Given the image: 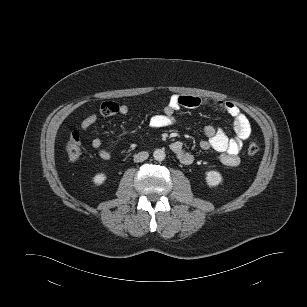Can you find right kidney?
<instances>
[{
    "mask_svg": "<svg viewBox=\"0 0 307 307\" xmlns=\"http://www.w3.org/2000/svg\"><path fill=\"white\" fill-rule=\"evenodd\" d=\"M106 175L103 174V173H99V174H96L94 177H93V182L95 185H101L105 182L106 180Z\"/></svg>",
    "mask_w": 307,
    "mask_h": 307,
    "instance_id": "right-kidney-1",
    "label": "right kidney"
}]
</instances>
